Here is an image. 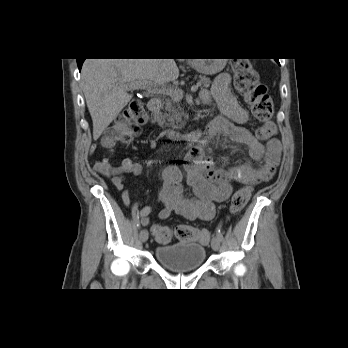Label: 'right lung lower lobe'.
<instances>
[{"instance_id":"98d812e1","label":"right lung lower lobe","mask_w":348,"mask_h":348,"mask_svg":"<svg viewBox=\"0 0 348 348\" xmlns=\"http://www.w3.org/2000/svg\"><path fill=\"white\" fill-rule=\"evenodd\" d=\"M84 60H85V59H77V64H78L79 70H81L82 64H83Z\"/></svg>"}]
</instances>
